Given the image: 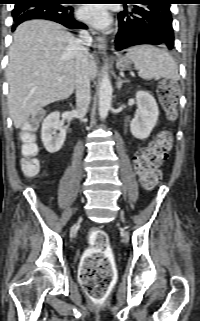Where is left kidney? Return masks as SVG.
Returning a JSON list of instances; mask_svg holds the SVG:
<instances>
[{"mask_svg": "<svg viewBox=\"0 0 200 321\" xmlns=\"http://www.w3.org/2000/svg\"><path fill=\"white\" fill-rule=\"evenodd\" d=\"M137 114L131 121L130 131L137 139H146L155 127L159 110L154 97L146 91L136 92Z\"/></svg>", "mask_w": 200, "mask_h": 321, "instance_id": "left-kidney-1", "label": "left kidney"}]
</instances>
